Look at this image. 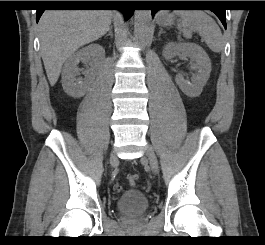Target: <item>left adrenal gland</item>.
I'll use <instances>...</instances> for the list:
<instances>
[{
	"instance_id": "a2214340",
	"label": "left adrenal gland",
	"mask_w": 265,
	"mask_h": 245,
	"mask_svg": "<svg viewBox=\"0 0 265 245\" xmlns=\"http://www.w3.org/2000/svg\"><path fill=\"white\" fill-rule=\"evenodd\" d=\"M163 33H165V32L163 31V29H162V28H160V31H159V33H158V37H160V36H161V34H163Z\"/></svg>"
}]
</instances>
